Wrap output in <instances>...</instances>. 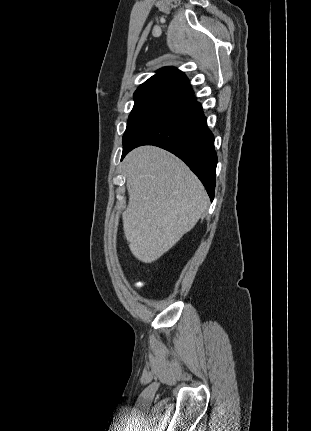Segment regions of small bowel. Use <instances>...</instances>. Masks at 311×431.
Wrapping results in <instances>:
<instances>
[{
    "label": "small bowel",
    "instance_id": "1",
    "mask_svg": "<svg viewBox=\"0 0 311 431\" xmlns=\"http://www.w3.org/2000/svg\"><path fill=\"white\" fill-rule=\"evenodd\" d=\"M142 285H143V283H142V282H136V283L134 284V286H135V287H137V288H140Z\"/></svg>",
    "mask_w": 311,
    "mask_h": 431
}]
</instances>
